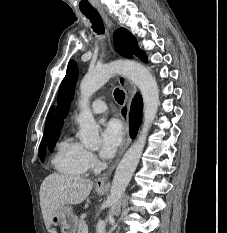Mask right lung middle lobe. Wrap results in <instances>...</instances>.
<instances>
[{"mask_svg":"<svg viewBox=\"0 0 227 233\" xmlns=\"http://www.w3.org/2000/svg\"><path fill=\"white\" fill-rule=\"evenodd\" d=\"M45 154H46V148L41 146L40 147V159L42 162L44 161Z\"/></svg>","mask_w":227,"mask_h":233,"instance_id":"dd1d6c3e","label":"right lung middle lobe"}]
</instances>
